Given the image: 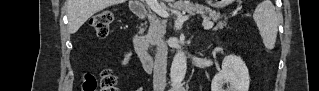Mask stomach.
<instances>
[{
    "instance_id": "1",
    "label": "stomach",
    "mask_w": 319,
    "mask_h": 91,
    "mask_svg": "<svg viewBox=\"0 0 319 91\" xmlns=\"http://www.w3.org/2000/svg\"><path fill=\"white\" fill-rule=\"evenodd\" d=\"M228 2V1H227ZM224 1H222V2H214V3H212L211 5L212 6H215V7H220V6H224Z\"/></svg>"
}]
</instances>
